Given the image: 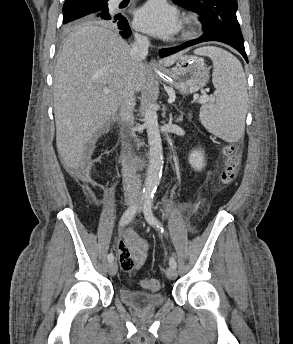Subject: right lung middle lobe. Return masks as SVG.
I'll list each match as a JSON object with an SVG mask.
<instances>
[{"instance_id":"right-lung-middle-lobe-1","label":"right lung middle lobe","mask_w":293,"mask_h":344,"mask_svg":"<svg viewBox=\"0 0 293 344\" xmlns=\"http://www.w3.org/2000/svg\"><path fill=\"white\" fill-rule=\"evenodd\" d=\"M108 0H83L63 6V24L65 28L75 23L82 24L92 21L89 15L100 12L108 11Z\"/></svg>"}]
</instances>
